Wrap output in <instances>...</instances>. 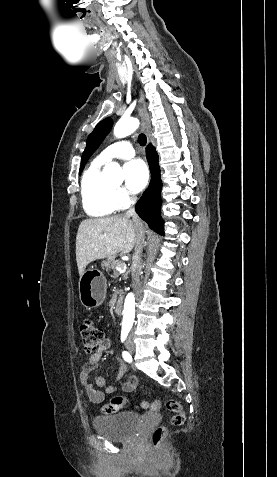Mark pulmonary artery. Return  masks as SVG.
I'll list each match as a JSON object with an SVG mask.
<instances>
[{
	"label": "pulmonary artery",
	"instance_id": "e3ab8cb5",
	"mask_svg": "<svg viewBox=\"0 0 277 477\" xmlns=\"http://www.w3.org/2000/svg\"><path fill=\"white\" fill-rule=\"evenodd\" d=\"M134 155V149L129 141H118L105 148L97 159L105 163L114 158L129 159Z\"/></svg>",
	"mask_w": 277,
	"mask_h": 477
}]
</instances>
